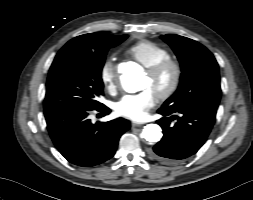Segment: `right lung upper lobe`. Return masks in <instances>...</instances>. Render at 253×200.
<instances>
[{"label":"right lung upper lobe","instance_id":"cb5924a9","mask_svg":"<svg viewBox=\"0 0 253 200\" xmlns=\"http://www.w3.org/2000/svg\"><path fill=\"white\" fill-rule=\"evenodd\" d=\"M113 35L106 34V33H91V34H84L81 36H78L76 38H73L70 41L73 42H84L88 44H97L101 41H105L109 38H111Z\"/></svg>","mask_w":253,"mask_h":200}]
</instances>
